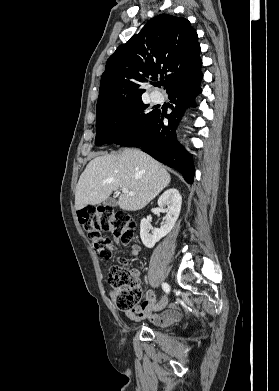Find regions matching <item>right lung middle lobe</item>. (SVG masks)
Returning a JSON list of instances; mask_svg holds the SVG:
<instances>
[{"instance_id":"1","label":"right lung middle lobe","mask_w":279,"mask_h":391,"mask_svg":"<svg viewBox=\"0 0 279 391\" xmlns=\"http://www.w3.org/2000/svg\"><path fill=\"white\" fill-rule=\"evenodd\" d=\"M142 100L107 109L96 114V145L114 143L120 136L154 114Z\"/></svg>"}]
</instances>
